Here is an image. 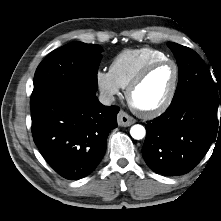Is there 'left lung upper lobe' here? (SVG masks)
I'll use <instances>...</instances> for the list:
<instances>
[{"mask_svg":"<svg viewBox=\"0 0 221 221\" xmlns=\"http://www.w3.org/2000/svg\"><path fill=\"white\" fill-rule=\"evenodd\" d=\"M167 45L174 53L179 67L178 85L172 101L196 95L204 97L216 105L219 100L221 103V91L219 89V93L217 92L211 73L200 56L188 47L172 42Z\"/></svg>","mask_w":221,"mask_h":221,"instance_id":"1","label":"left lung upper lobe"}]
</instances>
